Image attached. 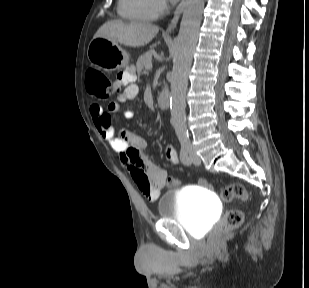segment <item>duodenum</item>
Returning <instances> with one entry per match:
<instances>
[{"label":"duodenum","mask_w":309,"mask_h":288,"mask_svg":"<svg viewBox=\"0 0 309 288\" xmlns=\"http://www.w3.org/2000/svg\"><path fill=\"white\" fill-rule=\"evenodd\" d=\"M171 103V94L164 89L157 99L158 106L163 110H168Z\"/></svg>","instance_id":"duodenum-1"}]
</instances>
